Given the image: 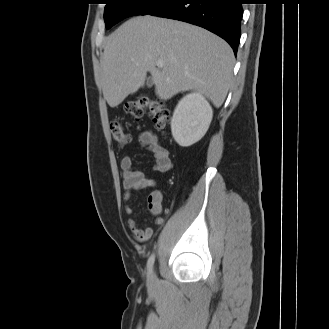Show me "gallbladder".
<instances>
[{
	"instance_id": "gallbladder-1",
	"label": "gallbladder",
	"mask_w": 329,
	"mask_h": 329,
	"mask_svg": "<svg viewBox=\"0 0 329 329\" xmlns=\"http://www.w3.org/2000/svg\"><path fill=\"white\" fill-rule=\"evenodd\" d=\"M152 85H153V79H152L151 77H149V78L147 79V86H148V87H152Z\"/></svg>"
}]
</instances>
